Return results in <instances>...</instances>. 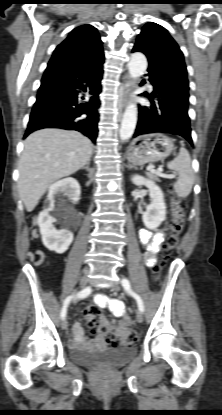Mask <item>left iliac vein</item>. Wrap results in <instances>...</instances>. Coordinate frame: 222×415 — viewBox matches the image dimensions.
<instances>
[{
	"label": "left iliac vein",
	"instance_id": "4c4485c4",
	"mask_svg": "<svg viewBox=\"0 0 222 415\" xmlns=\"http://www.w3.org/2000/svg\"><path fill=\"white\" fill-rule=\"evenodd\" d=\"M111 289L114 290V291H118L120 289V287H119L118 284H113L111 286ZM136 319L139 323L143 322L144 317H143V314H142L141 311H137Z\"/></svg>",
	"mask_w": 222,
	"mask_h": 415
}]
</instances>
